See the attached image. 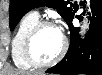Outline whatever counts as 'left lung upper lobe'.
I'll list each match as a JSON object with an SVG mask.
<instances>
[{
    "label": "left lung upper lobe",
    "mask_w": 102,
    "mask_h": 75,
    "mask_svg": "<svg viewBox=\"0 0 102 75\" xmlns=\"http://www.w3.org/2000/svg\"><path fill=\"white\" fill-rule=\"evenodd\" d=\"M48 6L57 12L67 22L73 13L72 4L64 0H10V29L13 30L22 16L35 7Z\"/></svg>",
    "instance_id": "obj_1"
}]
</instances>
